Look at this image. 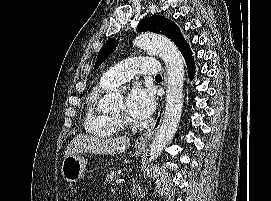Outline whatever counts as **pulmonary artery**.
<instances>
[{"label": "pulmonary artery", "mask_w": 271, "mask_h": 201, "mask_svg": "<svg viewBox=\"0 0 271 201\" xmlns=\"http://www.w3.org/2000/svg\"><path fill=\"white\" fill-rule=\"evenodd\" d=\"M160 72V65L153 57H133L123 60L109 69L101 78L103 87H114L129 81L136 74L156 75Z\"/></svg>", "instance_id": "pulmonary-artery-1"}]
</instances>
